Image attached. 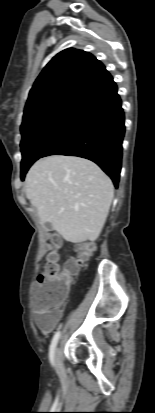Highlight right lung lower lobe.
<instances>
[{
	"label": "right lung lower lobe",
	"instance_id": "98d812e1",
	"mask_svg": "<svg viewBox=\"0 0 155 413\" xmlns=\"http://www.w3.org/2000/svg\"><path fill=\"white\" fill-rule=\"evenodd\" d=\"M124 133V112L112 80L78 104L66 128L43 157L60 154L89 159L110 176L117 188Z\"/></svg>",
	"mask_w": 155,
	"mask_h": 413
}]
</instances>
